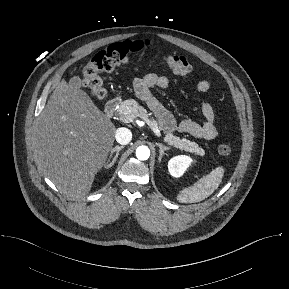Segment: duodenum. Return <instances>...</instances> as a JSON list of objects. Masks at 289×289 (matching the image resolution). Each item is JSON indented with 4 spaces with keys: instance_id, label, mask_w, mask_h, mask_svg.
Returning a JSON list of instances; mask_svg holds the SVG:
<instances>
[{
    "instance_id": "1",
    "label": "duodenum",
    "mask_w": 289,
    "mask_h": 289,
    "mask_svg": "<svg viewBox=\"0 0 289 289\" xmlns=\"http://www.w3.org/2000/svg\"><path fill=\"white\" fill-rule=\"evenodd\" d=\"M120 100L118 98L110 99L105 105V114L107 117L111 118L117 111Z\"/></svg>"
}]
</instances>
